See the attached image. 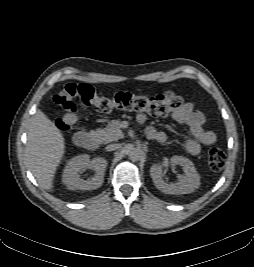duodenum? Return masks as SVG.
Instances as JSON below:
<instances>
[{"mask_svg": "<svg viewBox=\"0 0 254 267\" xmlns=\"http://www.w3.org/2000/svg\"><path fill=\"white\" fill-rule=\"evenodd\" d=\"M74 143L86 150H96L98 148V139L88 132L80 131L74 135Z\"/></svg>", "mask_w": 254, "mask_h": 267, "instance_id": "duodenum-1", "label": "duodenum"}]
</instances>
